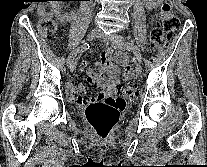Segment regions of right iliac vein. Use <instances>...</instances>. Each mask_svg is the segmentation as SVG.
I'll return each instance as SVG.
<instances>
[{"mask_svg": "<svg viewBox=\"0 0 207 167\" xmlns=\"http://www.w3.org/2000/svg\"><path fill=\"white\" fill-rule=\"evenodd\" d=\"M100 36V32L98 29H93L89 32V34L86 37V41H91L97 37ZM77 60L74 59L71 64L69 65L70 71H73L76 68Z\"/></svg>", "mask_w": 207, "mask_h": 167, "instance_id": "obj_1", "label": "right iliac vein"}]
</instances>
